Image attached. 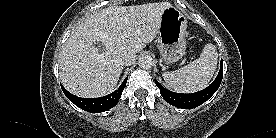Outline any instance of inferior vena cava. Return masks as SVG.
Wrapping results in <instances>:
<instances>
[{"label": "inferior vena cava", "mask_w": 276, "mask_h": 138, "mask_svg": "<svg viewBox=\"0 0 276 138\" xmlns=\"http://www.w3.org/2000/svg\"><path fill=\"white\" fill-rule=\"evenodd\" d=\"M136 60V55L133 53H125L121 56V62L123 65L130 66Z\"/></svg>", "instance_id": "602c4592"}]
</instances>
